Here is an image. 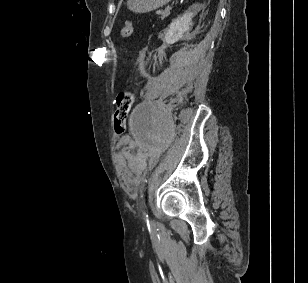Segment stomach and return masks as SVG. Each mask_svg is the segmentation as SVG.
I'll return each instance as SVG.
<instances>
[{"mask_svg": "<svg viewBox=\"0 0 308 283\" xmlns=\"http://www.w3.org/2000/svg\"><path fill=\"white\" fill-rule=\"evenodd\" d=\"M170 1L171 0H128L127 6L135 13H147L162 7Z\"/></svg>", "mask_w": 308, "mask_h": 283, "instance_id": "1", "label": "stomach"}]
</instances>
